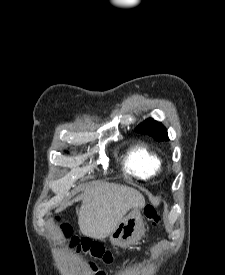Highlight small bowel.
<instances>
[{
  "label": "small bowel",
  "instance_id": "1",
  "mask_svg": "<svg viewBox=\"0 0 225 275\" xmlns=\"http://www.w3.org/2000/svg\"><path fill=\"white\" fill-rule=\"evenodd\" d=\"M101 272V274L100 275H104V273L102 272V271H100Z\"/></svg>",
  "mask_w": 225,
  "mask_h": 275
}]
</instances>
